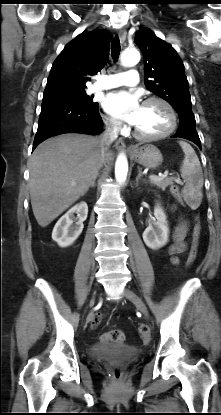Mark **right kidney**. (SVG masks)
Returning <instances> with one entry per match:
<instances>
[{
	"label": "right kidney",
	"instance_id": "1",
	"mask_svg": "<svg viewBox=\"0 0 221 415\" xmlns=\"http://www.w3.org/2000/svg\"><path fill=\"white\" fill-rule=\"evenodd\" d=\"M74 213L77 214L78 221L73 224ZM88 206L85 202L72 207L64 214L56 223L52 239L58 243L60 247H67L74 243L84 228L83 222L87 219Z\"/></svg>",
	"mask_w": 221,
	"mask_h": 415
}]
</instances>
